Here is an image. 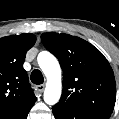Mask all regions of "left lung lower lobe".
I'll return each mask as SVG.
<instances>
[{
	"label": "left lung lower lobe",
	"instance_id": "1",
	"mask_svg": "<svg viewBox=\"0 0 119 119\" xmlns=\"http://www.w3.org/2000/svg\"><path fill=\"white\" fill-rule=\"evenodd\" d=\"M52 112L55 119H109L110 115L81 112L71 108L53 106Z\"/></svg>",
	"mask_w": 119,
	"mask_h": 119
}]
</instances>
